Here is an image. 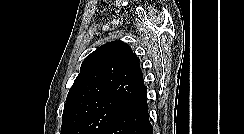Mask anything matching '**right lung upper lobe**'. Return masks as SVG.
<instances>
[{
	"mask_svg": "<svg viewBox=\"0 0 244 134\" xmlns=\"http://www.w3.org/2000/svg\"><path fill=\"white\" fill-rule=\"evenodd\" d=\"M146 93L139 58L128 44L108 42L84 59L67 95L62 118L89 100L116 97L133 101Z\"/></svg>",
	"mask_w": 244,
	"mask_h": 134,
	"instance_id": "right-lung-upper-lobe-1",
	"label": "right lung upper lobe"
}]
</instances>
